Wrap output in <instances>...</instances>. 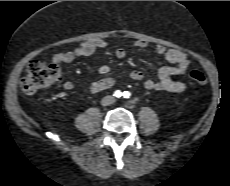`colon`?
Returning a JSON list of instances; mask_svg holds the SVG:
<instances>
[{
  "label": "colon",
  "instance_id": "1",
  "mask_svg": "<svg viewBox=\"0 0 230 186\" xmlns=\"http://www.w3.org/2000/svg\"><path fill=\"white\" fill-rule=\"evenodd\" d=\"M60 76L61 69L57 64L34 60L26 67L24 76L20 82V89L22 93L31 95L38 90L50 87ZM189 78L198 84H206L208 82L206 75L199 70L191 71Z\"/></svg>",
  "mask_w": 230,
  "mask_h": 186
}]
</instances>
